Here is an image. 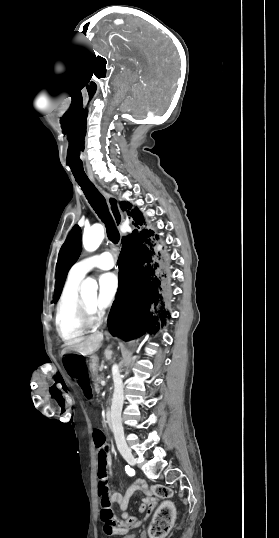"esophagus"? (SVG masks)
<instances>
[{
    "mask_svg": "<svg viewBox=\"0 0 279 538\" xmlns=\"http://www.w3.org/2000/svg\"><path fill=\"white\" fill-rule=\"evenodd\" d=\"M89 178L92 181H95L94 177L91 176ZM104 195H105V198L107 200V204L109 206V209H110L111 215L113 217L114 223L117 226V228L119 229L120 226L122 225L123 221H124V216H123V213L121 211V208H120V205L118 203V200H117V198L115 196L110 195V193L104 192Z\"/></svg>",
    "mask_w": 279,
    "mask_h": 538,
    "instance_id": "34e87169",
    "label": "esophagus"
}]
</instances>
